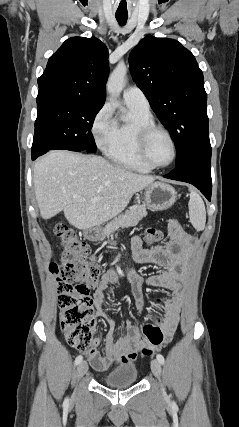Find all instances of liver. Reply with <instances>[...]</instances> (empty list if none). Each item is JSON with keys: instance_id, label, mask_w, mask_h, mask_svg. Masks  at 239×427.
I'll use <instances>...</instances> for the list:
<instances>
[{"instance_id": "6515ba94", "label": "liver", "mask_w": 239, "mask_h": 427, "mask_svg": "<svg viewBox=\"0 0 239 427\" xmlns=\"http://www.w3.org/2000/svg\"><path fill=\"white\" fill-rule=\"evenodd\" d=\"M154 178L136 174L96 155L53 151L34 164L33 183L40 216L62 210L68 222L85 230L121 213L134 193Z\"/></svg>"}]
</instances>
